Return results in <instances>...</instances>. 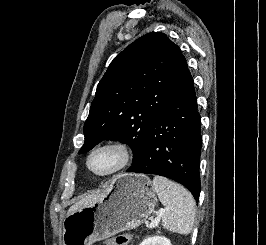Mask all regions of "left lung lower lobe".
<instances>
[{"label":"left lung lower lobe","instance_id":"1","mask_svg":"<svg viewBox=\"0 0 266 245\" xmlns=\"http://www.w3.org/2000/svg\"><path fill=\"white\" fill-rule=\"evenodd\" d=\"M200 114L188 68L151 123L143 152L127 172L156 174L186 187L199 200Z\"/></svg>","mask_w":266,"mask_h":245}]
</instances>
